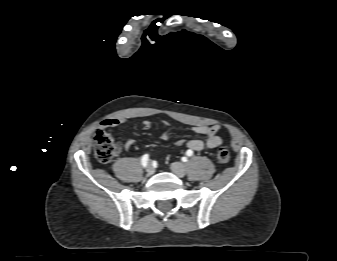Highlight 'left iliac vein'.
Segmentation results:
<instances>
[{
  "label": "left iliac vein",
  "instance_id": "obj_1",
  "mask_svg": "<svg viewBox=\"0 0 337 261\" xmlns=\"http://www.w3.org/2000/svg\"><path fill=\"white\" fill-rule=\"evenodd\" d=\"M172 172L178 177L183 178L186 175L185 165L179 162H174L170 166Z\"/></svg>",
  "mask_w": 337,
  "mask_h": 261
}]
</instances>
